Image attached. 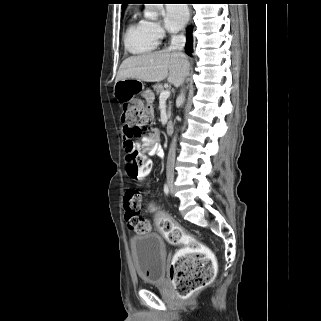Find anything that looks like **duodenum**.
I'll return each mask as SVG.
<instances>
[{"label": "duodenum", "mask_w": 321, "mask_h": 321, "mask_svg": "<svg viewBox=\"0 0 321 321\" xmlns=\"http://www.w3.org/2000/svg\"><path fill=\"white\" fill-rule=\"evenodd\" d=\"M165 130L167 134H172L173 132V123L171 121L166 123Z\"/></svg>", "instance_id": "1"}]
</instances>
